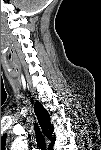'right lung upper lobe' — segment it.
Returning a JSON list of instances; mask_svg holds the SVG:
<instances>
[{"label": "right lung upper lobe", "mask_w": 101, "mask_h": 150, "mask_svg": "<svg viewBox=\"0 0 101 150\" xmlns=\"http://www.w3.org/2000/svg\"><path fill=\"white\" fill-rule=\"evenodd\" d=\"M34 110H35V113L37 115L39 124L41 126V129H42L44 135L48 139L51 140V145H50V147H51L53 145L55 139L54 138L52 139V135H51L53 130H52V126L50 124L49 114L44 109V107L41 105V103L38 101L34 105ZM5 137H6V135H4L1 138V149H4Z\"/></svg>", "instance_id": "1"}]
</instances>
